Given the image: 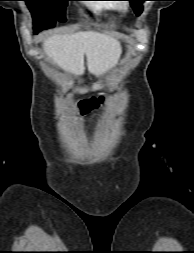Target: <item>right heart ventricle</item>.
Here are the masks:
<instances>
[{
    "instance_id": "e07e8e85",
    "label": "right heart ventricle",
    "mask_w": 194,
    "mask_h": 253,
    "mask_svg": "<svg viewBox=\"0 0 194 253\" xmlns=\"http://www.w3.org/2000/svg\"><path fill=\"white\" fill-rule=\"evenodd\" d=\"M92 11L99 16L117 13L120 11L119 4L115 2H95L90 5Z\"/></svg>"
}]
</instances>
